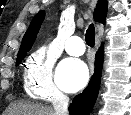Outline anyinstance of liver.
Returning <instances> with one entry per match:
<instances>
[{
  "label": "liver",
  "instance_id": "obj_1",
  "mask_svg": "<svg viewBox=\"0 0 131 115\" xmlns=\"http://www.w3.org/2000/svg\"><path fill=\"white\" fill-rule=\"evenodd\" d=\"M5 113L4 115H56L51 107L28 102L13 103Z\"/></svg>",
  "mask_w": 131,
  "mask_h": 115
}]
</instances>
